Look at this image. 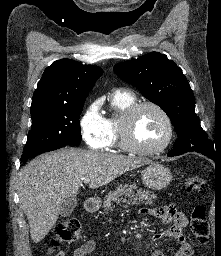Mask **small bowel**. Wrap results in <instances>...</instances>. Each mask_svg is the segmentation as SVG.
Masks as SVG:
<instances>
[{
  "label": "small bowel",
  "instance_id": "small-bowel-1",
  "mask_svg": "<svg viewBox=\"0 0 221 256\" xmlns=\"http://www.w3.org/2000/svg\"><path fill=\"white\" fill-rule=\"evenodd\" d=\"M142 213H149L159 218L162 223L171 224L166 232L154 236L153 240H159L164 237L174 238L178 241L174 256H193V248L183 235V230L187 225V219L174 205H166L150 210L143 209ZM96 247V240H87L74 250L73 256H87L88 254H91ZM57 256H64V254L59 253ZM151 256L165 255L162 251L156 249L152 252Z\"/></svg>",
  "mask_w": 221,
  "mask_h": 256
}]
</instances>
